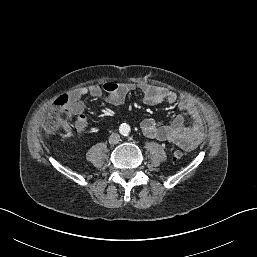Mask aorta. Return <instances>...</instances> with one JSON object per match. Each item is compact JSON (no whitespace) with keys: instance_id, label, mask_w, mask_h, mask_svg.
Segmentation results:
<instances>
[{"instance_id":"aorta-1","label":"aorta","mask_w":257,"mask_h":257,"mask_svg":"<svg viewBox=\"0 0 257 257\" xmlns=\"http://www.w3.org/2000/svg\"><path fill=\"white\" fill-rule=\"evenodd\" d=\"M120 131L123 134H127L130 131V126L127 125L126 123L122 124L121 127H120Z\"/></svg>"}]
</instances>
